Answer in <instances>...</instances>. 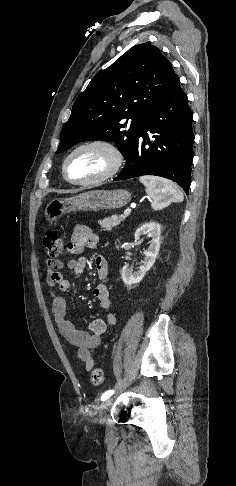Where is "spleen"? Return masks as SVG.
Returning <instances> with one entry per match:
<instances>
[{
	"mask_svg": "<svg viewBox=\"0 0 236 486\" xmlns=\"http://www.w3.org/2000/svg\"><path fill=\"white\" fill-rule=\"evenodd\" d=\"M140 182L151 199V207L160 210L172 202H182L184 197L181 190L173 182L156 176H141Z\"/></svg>",
	"mask_w": 236,
	"mask_h": 486,
	"instance_id": "obj_1",
	"label": "spleen"
}]
</instances>
